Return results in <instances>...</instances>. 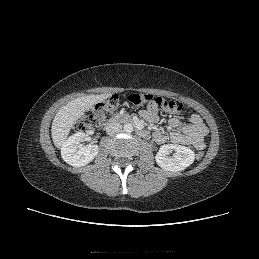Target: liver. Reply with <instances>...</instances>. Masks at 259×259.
I'll return each instance as SVG.
<instances>
[{
  "label": "liver",
  "instance_id": "obj_1",
  "mask_svg": "<svg viewBox=\"0 0 259 259\" xmlns=\"http://www.w3.org/2000/svg\"><path fill=\"white\" fill-rule=\"evenodd\" d=\"M110 94L87 95L76 98L61 107L51 127V136L56 148H61L73 125L95 104L107 99Z\"/></svg>",
  "mask_w": 259,
  "mask_h": 259
}]
</instances>
